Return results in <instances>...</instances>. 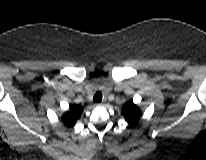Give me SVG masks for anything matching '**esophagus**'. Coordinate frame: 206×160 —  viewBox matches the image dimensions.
Wrapping results in <instances>:
<instances>
[{
	"mask_svg": "<svg viewBox=\"0 0 206 160\" xmlns=\"http://www.w3.org/2000/svg\"><path fill=\"white\" fill-rule=\"evenodd\" d=\"M104 103H105L104 101H102V102H97L96 105H104Z\"/></svg>",
	"mask_w": 206,
	"mask_h": 160,
	"instance_id": "esophagus-1",
	"label": "esophagus"
}]
</instances>
